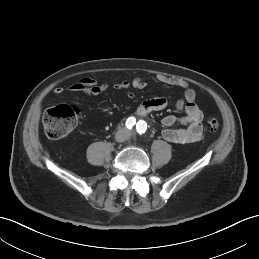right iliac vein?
<instances>
[{"label": "right iliac vein", "mask_w": 259, "mask_h": 259, "mask_svg": "<svg viewBox=\"0 0 259 259\" xmlns=\"http://www.w3.org/2000/svg\"><path fill=\"white\" fill-rule=\"evenodd\" d=\"M125 140V135L123 134V133H118L117 135H116V141L117 142H122V141H124Z\"/></svg>", "instance_id": "1"}]
</instances>
